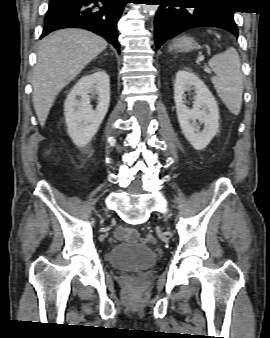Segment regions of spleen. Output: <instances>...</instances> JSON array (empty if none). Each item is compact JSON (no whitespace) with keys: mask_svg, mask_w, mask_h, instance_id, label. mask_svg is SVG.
Segmentation results:
<instances>
[{"mask_svg":"<svg viewBox=\"0 0 270 338\" xmlns=\"http://www.w3.org/2000/svg\"><path fill=\"white\" fill-rule=\"evenodd\" d=\"M208 64L216 74L211 81L218 96L232 114L238 115L242 106L243 75L236 49L229 47L225 52L214 55Z\"/></svg>","mask_w":270,"mask_h":338,"instance_id":"obj_1","label":"spleen"}]
</instances>
